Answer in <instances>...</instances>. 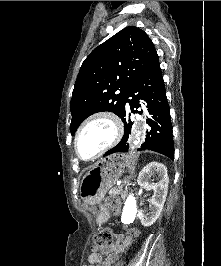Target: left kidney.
Returning a JSON list of instances; mask_svg holds the SVG:
<instances>
[{
    "label": "left kidney",
    "mask_w": 221,
    "mask_h": 266,
    "mask_svg": "<svg viewBox=\"0 0 221 266\" xmlns=\"http://www.w3.org/2000/svg\"><path fill=\"white\" fill-rule=\"evenodd\" d=\"M155 173L159 178V182L156 184L151 183V177ZM138 184L143 188L154 189V195L149 201L150 212L147 214H140L139 216L141 224L145 227H149L159 218L166 201L169 184L167 168L156 161L150 162L141 170L138 177Z\"/></svg>",
    "instance_id": "obj_1"
}]
</instances>
